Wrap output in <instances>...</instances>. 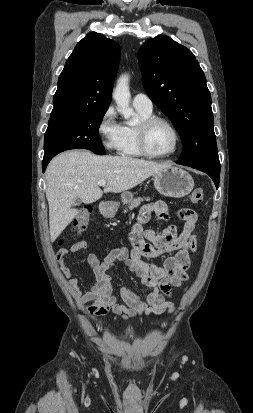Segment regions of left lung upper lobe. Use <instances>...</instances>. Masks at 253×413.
<instances>
[{
  "instance_id": "obj_1",
  "label": "left lung upper lobe",
  "mask_w": 253,
  "mask_h": 413,
  "mask_svg": "<svg viewBox=\"0 0 253 413\" xmlns=\"http://www.w3.org/2000/svg\"><path fill=\"white\" fill-rule=\"evenodd\" d=\"M142 84L179 132V164L220 168L211 95L194 54L168 36L146 41L138 52Z\"/></svg>"
}]
</instances>
